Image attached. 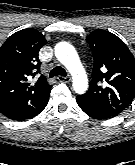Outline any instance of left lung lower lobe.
<instances>
[{
  "label": "left lung lower lobe",
  "mask_w": 135,
  "mask_h": 165,
  "mask_svg": "<svg viewBox=\"0 0 135 165\" xmlns=\"http://www.w3.org/2000/svg\"><path fill=\"white\" fill-rule=\"evenodd\" d=\"M76 101L79 107L89 116L97 119H108L114 117V115L110 114L109 112L105 111L104 109L95 106L93 104L84 102L83 100L76 98Z\"/></svg>",
  "instance_id": "left-lung-lower-lobe-1"
}]
</instances>
